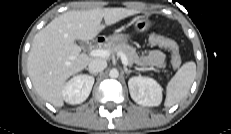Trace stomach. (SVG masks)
<instances>
[{
	"label": "stomach",
	"mask_w": 231,
	"mask_h": 134,
	"mask_svg": "<svg viewBox=\"0 0 231 134\" xmlns=\"http://www.w3.org/2000/svg\"><path fill=\"white\" fill-rule=\"evenodd\" d=\"M152 26V22L147 17H138L135 19V31L138 33H143L147 31ZM128 37L123 34H118L114 36H109L107 42L109 43H125Z\"/></svg>",
	"instance_id": "stomach-1"
}]
</instances>
